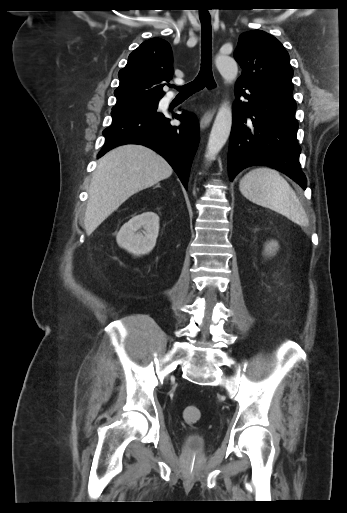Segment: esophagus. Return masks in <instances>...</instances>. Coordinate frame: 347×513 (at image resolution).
I'll return each instance as SVG.
<instances>
[{"instance_id": "obj_1", "label": "esophagus", "mask_w": 347, "mask_h": 513, "mask_svg": "<svg viewBox=\"0 0 347 513\" xmlns=\"http://www.w3.org/2000/svg\"><path fill=\"white\" fill-rule=\"evenodd\" d=\"M216 93L217 90H216ZM216 112V103H210L208 107L203 111L201 120H200V128L205 129L209 126L214 114Z\"/></svg>"}]
</instances>
